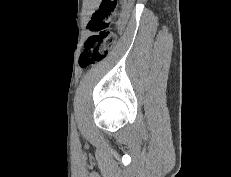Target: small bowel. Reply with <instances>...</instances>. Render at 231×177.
<instances>
[{"label":"small bowel","instance_id":"obj_1","mask_svg":"<svg viewBox=\"0 0 231 177\" xmlns=\"http://www.w3.org/2000/svg\"><path fill=\"white\" fill-rule=\"evenodd\" d=\"M124 24H125V20H124V18H121V19L119 20V22H118V25H119L120 29L123 28Z\"/></svg>","mask_w":231,"mask_h":177}]
</instances>
